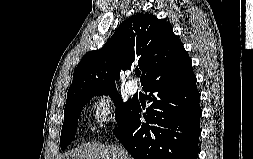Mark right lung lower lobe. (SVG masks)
I'll list each match as a JSON object with an SVG mask.
<instances>
[{"label":"right lung lower lobe","mask_w":253,"mask_h":159,"mask_svg":"<svg viewBox=\"0 0 253 159\" xmlns=\"http://www.w3.org/2000/svg\"><path fill=\"white\" fill-rule=\"evenodd\" d=\"M143 89L150 92V107L142 112L134 102L114 129L125 149L134 159H197L202 110L192 65Z\"/></svg>","instance_id":"1"}]
</instances>
